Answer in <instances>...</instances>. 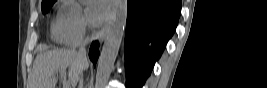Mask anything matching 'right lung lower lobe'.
<instances>
[{
  "instance_id": "98d812e1",
  "label": "right lung lower lobe",
  "mask_w": 267,
  "mask_h": 88,
  "mask_svg": "<svg viewBox=\"0 0 267 88\" xmlns=\"http://www.w3.org/2000/svg\"><path fill=\"white\" fill-rule=\"evenodd\" d=\"M98 55H99V44L98 42L92 43L89 51V57L90 60L94 63V66L98 60Z\"/></svg>"
}]
</instances>
